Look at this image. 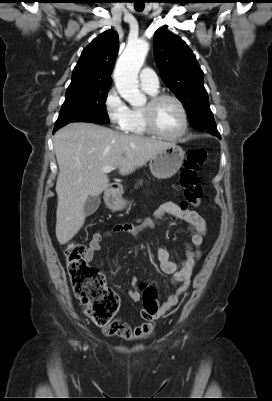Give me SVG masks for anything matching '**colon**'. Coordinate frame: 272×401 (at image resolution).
<instances>
[{"mask_svg": "<svg viewBox=\"0 0 272 401\" xmlns=\"http://www.w3.org/2000/svg\"><path fill=\"white\" fill-rule=\"evenodd\" d=\"M207 152L204 148L188 151L180 174V185L186 201L199 206L203 189L197 170L204 164ZM86 247L78 241L69 242L64 250L67 270L75 297L86 306V314L105 333L111 334L112 319L119 307L118 295L105 284L104 275L85 259ZM143 311L154 314L158 310L157 292L153 286L143 287Z\"/></svg>", "mask_w": 272, "mask_h": 401, "instance_id": "obj_1", "label": "colon"}]
</instances>
